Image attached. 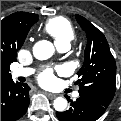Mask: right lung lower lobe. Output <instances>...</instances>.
<instances>
[{
  "mask_svg": "<svg viewBox=\"0 0 121 121\" xmlns=\"http://www.w3.org/2000/svg\"><path fill=\"white\" fill-rule=\"evenodd\" d=\"M29 90L27 84L15 83L12 77L1 80V121H15L26 113Z\"/></svg>",
  "mask_w": 121,
  "mask_h": 121,
  "instance_id": "obj_1",
  "label": "right lung lower lobe"
}]
</instances>
